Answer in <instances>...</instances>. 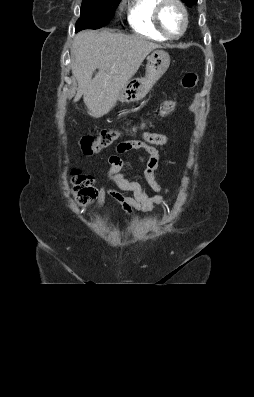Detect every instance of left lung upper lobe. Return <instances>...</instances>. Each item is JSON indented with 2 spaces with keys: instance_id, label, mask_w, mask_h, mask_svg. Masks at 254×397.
Returning a JSON list of instances; mask_svg holds the SVG:
<instances>
[{
  "instance_id": "5c2ea615",
  "label": "left lung upper lobe",
  "mask_w": 254,
  "mask_h": 397,
  "mask_svg": "<svg viewBox=\"0 0 254 397\" xmlns=\"http://www.w3.org/2000/svg\"><path fill=\"white\" fill-rule=\"evenodd\" d=\"M182 1L185 2L189 7L197 2V0H182Z\"/></svg>"
}]
</instances>
